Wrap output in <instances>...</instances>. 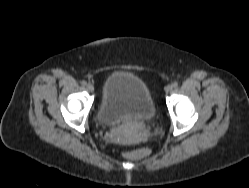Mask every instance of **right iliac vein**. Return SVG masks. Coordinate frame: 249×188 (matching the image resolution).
Returning <instances> with one entry per match:
<instances>
[{
    "label": "right iliac vein",
    "instance_id": "1",
    "mask_svg": "<svg viewBox=\"0 0 249 188\" xmlns=\"http://www.w3.org/2000/svg\"><path fill=\"white\" fill-rule=\"evenodd\" d=\"M87 89L89 91L93 92L94 91V86L91 83H89V84H87Z\"/></svg>",
    "mask_w": 249,
    "mask_h": 188
}]
</instances>
